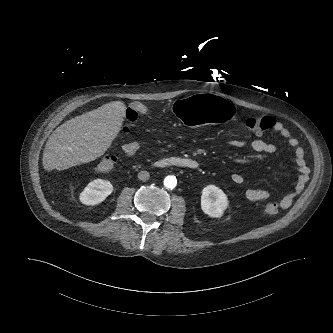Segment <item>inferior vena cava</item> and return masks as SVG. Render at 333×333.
I'll return each mask as SVG.
<instances>
[{"label": "inferior vena cava", "mask_w": 333, "mask_h": 333, "mask_svg": "<svg viewBox=\"0 0 333 333\" xmlns=\"http://www.w3.org/2000/svg\"><path fill=\"white\" fill-rule=\"evenodd\" d=\"M138 178L142 181H146L150 178V174L147 171H140L138 173Z\"/></svg>", "instance_id": "inferior-vena-cava-1"}]
</instances>
